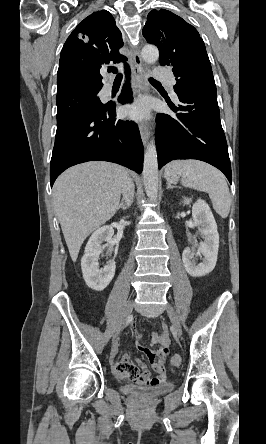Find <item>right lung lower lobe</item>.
Returning a JSON list of instances; mask_svg holds the SVG:
<instances>
[{"label":"right lung lower lobe","instance_id":"98d812e1","mask_svg":"<svg viewBox=\"0 0 266 444\" xmlns=\"http://www.w3.org/2000/svg\"><path fill=\"white\" fill-rule=\"evenodd\" d=\"M126 69L129 75V67ZM131 95L126 83L118 102L126 103ZM143 156L138 126L117 119L116 103L109 102L92 115L76 117L57 127L50 163L51 186L64 170L87 161L114 162L141 173Z\"/></svg>","mask_w":266,"mask_h":444}]
</instances>
